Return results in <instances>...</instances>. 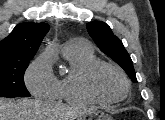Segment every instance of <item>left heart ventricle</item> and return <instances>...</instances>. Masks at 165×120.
Wrapping results in <instances>:
<instances>
[{"label": "left heart ventricle", "instance_id": "1", "mask_svg": "<svg viewBox=\"0 0 165 120\" xmlns=\"http://www.w3.org/2000/svg\"><path fill=\"white\" fill-rule=\"evenodd\" d=\"M96 91L105 98H117L124 93V82L120 75L110 68H102L94 78Z\"/></svg>", "mask_w": 165, "mask_h": 120}]
</instances>
